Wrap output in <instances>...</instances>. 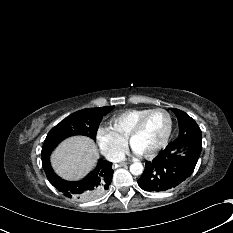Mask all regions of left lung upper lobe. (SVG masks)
<instances>
[{
	"instance_id": "1",
	"label": "left lung upper lobe",
	"mask_w": 233,
	"mask_h": 233,
	"mask_svg": "<svg viewBox=\"0 0 233 233\" xmlns=\"http://www.w3.org/2000/svg\"><path fill=\"white\" fill-rule=\"evenodd\" d=\"M171 110L177 116L180 132L178 138L170 144L191 148H194L196 145L202 146L201 130L194 119L179 109L171 108Z\"/></svg>"
}]
</instances>
